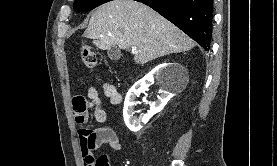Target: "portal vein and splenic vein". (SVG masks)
<instances>
[{
	"label": "portal vein and splenic vein",
	"instance_id": "1",
	"mask_svg": "<svg viewBox=\"0 0 277 166\" xmlns=\"http://www.w3.org/2000/svg\"><path fill=\"white\" fill-rule=\"evenodd\" d=\"M132 53L133 54H137L138 53V51H137V49L135 47L132 48Z\"/></svg>",
	"mask_w": 277,
	"mask_h": 166
}]
</instances>
